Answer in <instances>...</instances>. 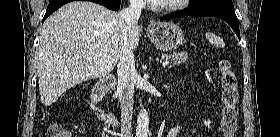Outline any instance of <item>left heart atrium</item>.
I'll return each mask as SVG.
<instances>
[{
	"label": "left heart atrium",
	"instance_id": "1",
	"mask_svg": "<svg viewBox=\"0 0 280 137\" xmlns=\"http://www.w3.org/2000/svg\"><path fill=\"white\" fill-rule=\"evenodd\" d=\"M163 0H150L151 3L160 4Z\"/></svg>",
	"mask_w": 280,
	"mask_h": 137
}]
</instances>
